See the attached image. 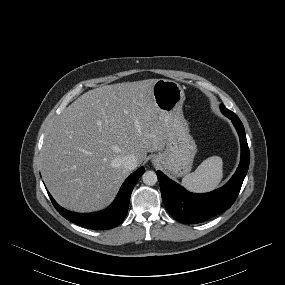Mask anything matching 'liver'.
<instances>
[{
    "label": "liver",
    "instance_id": "6515ba94",
    "mask_svg": "<svg viewBox=\"0 0 285 285\" xmlns=\"http://www.w3.org/2000/svg\"><path fill=\"white\" fill-rule=\"evenodd\" d=\"M158 79L90 90L54 120L41 157L44 181L55 200L75 212L105 208L129 175L123 158L141 165L166 145L153 98Z\"/></svg>",
    "mask_w": 285,
    "mask_h": 285
}]
</instances>
